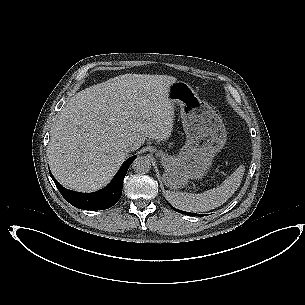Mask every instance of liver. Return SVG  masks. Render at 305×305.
<instances>
[{
    "mask_svg": "<svg viewBox=\"0 0 305 305\" xmlns=\"http://www.w3.org/2000/svg\"><path fill=\"white\" fill-rule=\"evenodd\" d=\"M157 78L155 88L130 76L111 78L76 93L67 102L48 145L51 171L64 187L79 192L99 190L126 159L125 145L133 144L137 150L146 138H169L173 112L159 108L150 93L158 89L166 96L177 80Z\"/></svg>",
    "mask_w": 305,
    "mask_h": 305,
    "instance_id": "liver-1",
    "label": "liver"
}]
</instances>
